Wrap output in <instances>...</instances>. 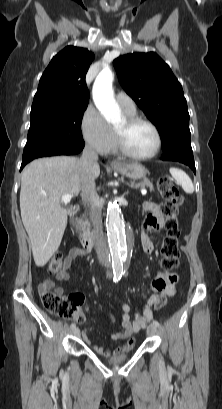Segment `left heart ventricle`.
I'll list each match as a JSON object with an SVG mask.
<instances>
[{
    "mask_svg": "<svg viewBox=\"0 0 222 409\" xmlns=\"http://www.w3.org/2000/svg\"><path fill=\"white\" fill-rule=\"evenodd\" d=\"M116 130L124 132L126 145L135 154H148L155 148L156 135L146 124L140 123L128 128L126 121L123 120L116 126Z\"/></svg>",
    "mask_w": 222,
    "mask_h": 409,
    "instance_id": "obj_1",
    "label": "left heart ventricle"
}]
</instances>
